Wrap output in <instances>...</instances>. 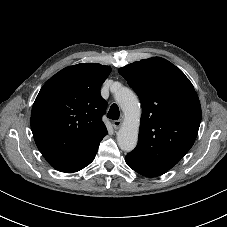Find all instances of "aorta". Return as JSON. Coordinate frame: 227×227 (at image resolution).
<instances>
[{
	"instance_id": "1",
	"label": "aorta",
	"mask_w": 227,
	"mask_h": 227,
	"mask_svg": "<svg viewBox=\"0 0 227 227\" xmlns=\"http://www.w3.org/2000/svg\"><path fill=\"white\" fill-rule=\"evenodd\" d=\"M115 100L124 113V122L117 133L119 147L132 151L138 141L141 108L137 96L127 87L120 86L114 93Z\"/></svg>"
}]
</instances>
